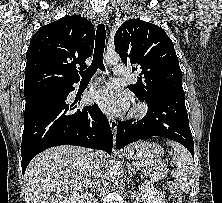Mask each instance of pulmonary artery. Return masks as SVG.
<instances>
[{
  "instance_id": "obj_1",
  "label": "pulmonary artery",
  "mask_w": 222,
  "mask_h": 203,
  "mask_svg": "<svg viewBox=\"0 0 222 203\" xmlns=\"http://www.w3.org/2000/svg\"><path fill=\"white\" fill-rule=\"evenodd\" d=\"M113 70L114 74L119 77L126 76L128 74V68L124 64L115 65Z\"/></svg>"
}]
</instances>
